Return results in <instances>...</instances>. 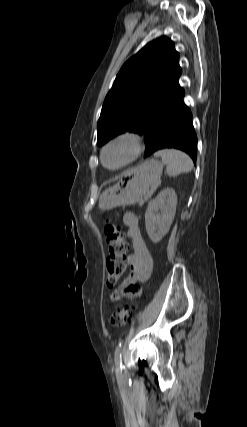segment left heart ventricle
Returning a JSON list of instances; mask_svg holds the SVG:
<instances>
[{
    "label": "left heart ventricle",
    "instance_id": "b2bd125f",
    "mask_svg": "<svg viewBox=\"0 0 247 427\" xmlns=\"http://www.w3.org/2000/svg\"><path fill=\"white\" fill-rule=\"evenodd\" d=\"M128 154V148L124 145L113 147L105 154V161L108 165H117L122 162Z\"/></svg>",
    "mask_w": 247,
    "mask_h": 427
}]
</instances>
